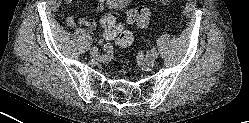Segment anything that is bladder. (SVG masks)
Segmentation results:
<instances>
[{"label": "bladder", "mask_w": 249, "mask_h": 123, "mask_svg": "<svg viewBox=\"0 0 249 123\" xmlns=\"http://www.w3.org/2000/svg\"><path fill=\"white\" fill-rule=\"evenodd\" d=\"M129 0H106L105 8L110 12L120 13L127 9Z\"/></svg>", "instance_id": "1"}]
</instances>
